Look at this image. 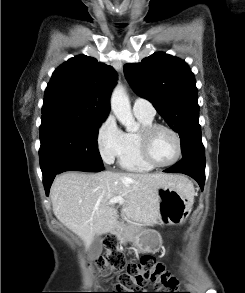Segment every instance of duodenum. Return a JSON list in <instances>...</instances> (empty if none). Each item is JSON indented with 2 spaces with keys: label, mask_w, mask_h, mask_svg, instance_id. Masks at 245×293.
Segmentation results:
<instances>
[{
  "label": "duodenum",
  "mask_w": 245,
  "mask_h": 293,
  "mask_svg": "<svg viewBox=\"0 0 245 293\" xmlns=\"http://www.w3.org/2000/svg\"><path fill=\"white\" fill-rule=\"evenodd\" d=\"M115 233H116V228L114 225H111L109 227V235H115Z\"/></svg>",
  "instance_id": "duodenum-1"
}]
</instances>
